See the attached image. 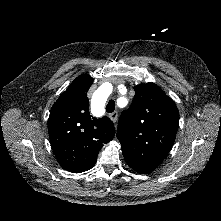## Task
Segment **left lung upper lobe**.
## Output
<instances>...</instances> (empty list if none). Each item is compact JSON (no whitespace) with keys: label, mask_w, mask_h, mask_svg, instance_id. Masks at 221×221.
<instances>
[{"label":"left lung upper lobe","mask_w":221,"mask_h":221,"mask_svg":"<svg viewBox=\"0 0 221 221\" xmlns=\"http://www.w3.org/2000/svg\"><path fill=\"white\" fill-rule=\"evenodd\" d=\"M135 96L122 112L117 137L127 164L146 174L157 168L170 151L176 137L177 106L156 84L134 87Z\"/></svg>","instance_id":"left-lung-upper-lobe-1"}]
</instances>
